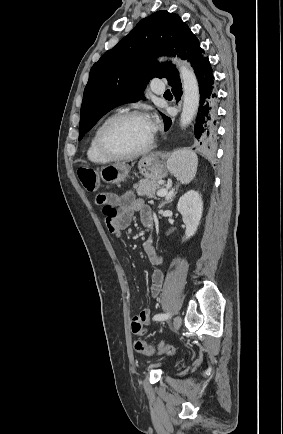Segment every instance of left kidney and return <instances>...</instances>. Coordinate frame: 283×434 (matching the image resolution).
I'll use <instances>...</instances> for the list:
<instances>
[{"label": "left kidney", "instance_id": "left-kidney-1", "mask_svg": "<svg viewBox=\"0 0 283 434\" xmlns=\"http://www.w3.org/2000/svg\"><path fill=\"white\" fill-rule=\"evenodd\" d=\"M177 210L182 215L186 226L183 240L189 239L196 233L202 217L203 202L201 195L194 190L188 191L179 199Z\"/></svg>", "mask_w": 283, "mask_h": 434}]
</instances>
